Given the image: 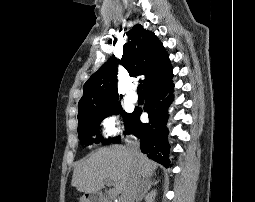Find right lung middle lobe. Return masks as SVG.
Instances as JSON below:
<instances>
[{
  "mask_svg": "<svg viewBox=\"0 0 255 202\" xmlns=\"http://www.w3.org/2000/svg\"><path fill=\"white\" fill-rule=\"evenodd\" d=\"M122 114L125 123V130L127 132L132 114H128L122 111L120 103H115L105 108L95 109L88 112H85L78 116V135L81 141V144L90 145L95 141L98 143V140H102V137L98 135V125L100 122L113 114ZM94 135H97L96 138H92ZM120 137L110 139V142L118 141Z\"/></svg>",
  "mask_w": 255,
  "mask_h": 202,
  "instance_id": "dd1d6c3e",
  "label": "right lung middle lobe"
}]
</instances>
